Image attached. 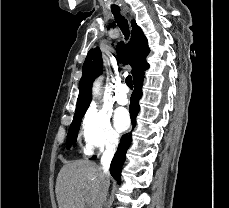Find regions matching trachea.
I'll return each mask as SVG.
<instances>
[{
  "label": "trachea",
  "mask_w": 229,
  "mask_h": 208,
  "mask_svg": "<svg viewBox=\"0 0 229 208\" xmlns=\"http://www.w3.org/2000/svg\"><path fill=\"white\" fill-rule=\"evenodd\" d=\"M111 11L114 15L115 21L118 24L120 30L125 35V38H129V25L126 18H124L120 13V7H111ZM126 85L132 90L133 89V80L132 76L128 75L125 79Z\"/></svg>",
  "instance_id": "obj_1"
}]
</instances>
